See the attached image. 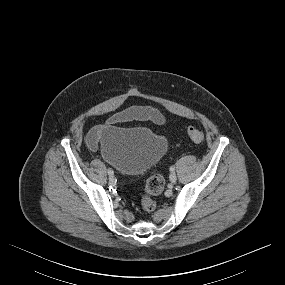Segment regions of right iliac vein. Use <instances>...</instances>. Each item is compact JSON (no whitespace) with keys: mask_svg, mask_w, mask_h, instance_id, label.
<instances>
[{"mask_svg":"<svg viewBox=\"0 0 285 285\" xmlns=\"http://www.w3.org/2000/svg\"><path fill=\"white\" fill-rule=\"evenodd\" d=\"M114 180H115V177H114L113 175H110V176H109V181H110L111 183H113Z\"/></svg>","mask_w":285,"mask_h":285,"instance_id":"obj_1","label":"right iliac vein"}]
</instances>
